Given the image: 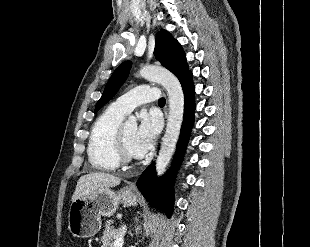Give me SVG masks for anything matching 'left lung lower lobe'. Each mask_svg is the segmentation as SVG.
Here are the masks:
<instances>
[{
	"mask_svg": "<svg viewBox=\"0 0 310 247\" xmlns=\"http://www.w3.org/2000/svg\"><path fill=\"white\" fill-rule=\"evenodd\" d=\"M180 83L185 97L184 122L181 127L180 138L177 144L174 165L177 167L183 157L187 146L191 129L194 123V94L195 88L192 81V73L189 71L181 79ZM173 172L163 178H157L154 164L147 167L137 181V187L154 207L165 212L169 218L173 211L172 192Z\"/></svg>",
	"mask_w": 310,
	"mask_h": 247,
	"instance_id": "obj_1",
	"label": "left lung lower lobe"
}]
</instances>
